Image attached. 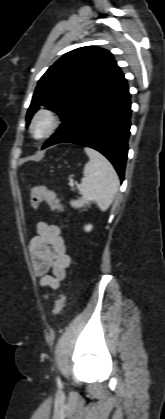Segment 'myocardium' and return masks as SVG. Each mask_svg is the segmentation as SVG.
<instances>
[{
  "label": "myocardium",
  "instance_id": "myocardium-1",
  "mask_svg": "<svg viewBox=\"0 0 165 419\" xmlns=\"http://www.w3.org/2000/svg\"><path fill=\"white\" fill-rule=\"evenodd\" d=\"M39 122H44L42 131L37 132L35 127ZM60 124V119L57 113L48 107H42L35 112L29 124V131L32 137L36 140H43L52 135Z\"/></svg>",
  "mask_w": 165,
  "mask_h": 419
}]
</instances>
